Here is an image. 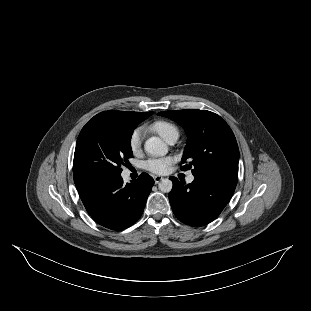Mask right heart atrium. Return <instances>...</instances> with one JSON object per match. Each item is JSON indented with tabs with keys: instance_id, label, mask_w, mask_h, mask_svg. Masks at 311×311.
<instances>
[{
	"instance_id": "1",
	"label": "right heart atrium",
	"mask_w": 311,
	"mask_h": 311,
	"mask_svg": "<svg viewBox=\"0 0 311 311\" xmlns=\"http://www.w3.org/2000/svg\"><path fill=\"white\" fill-rule=\"evenodd\" d=\"M145 135V128L138 126L134 128L128 138V147L131 153L136 154L140 151Z\"/></svg>"
}]
</instances>
